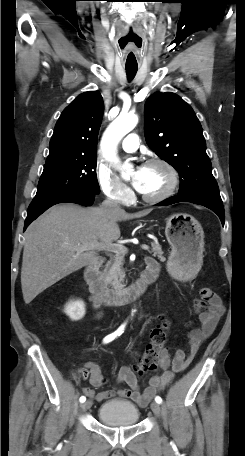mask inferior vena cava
<instances>
[{
  "label": "inferior vena cava",
  "instance_id": "602c4592",
  "mask_svg": "<svg viewBox=\"0 0 245 456\" xmlns=\"http://www.w3.org/2000/svg\"><path fill=\"white\" fill-rule=\"evenodd\" d=\"M103 207H109V208H119L118 204L111 200V199H106L104 202H103Z\"/></svg>",
  "mask_w": 245,
  "mask_h": 456
}]
</instances>
